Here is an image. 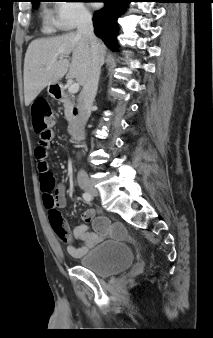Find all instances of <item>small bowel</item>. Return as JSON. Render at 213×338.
Listing matches in <instances>:
<instances>
[{
    "mask_svg": "<svg viewBox=\"0 0 213 338\" xmlns=\"http://www.w3.org/2000/svg\"><path fill=\"white\" fill-rule=\"evenodd\" d=\"M52 139L53 135H50L48 138L39 141L35 148V158L37 162L48 161ZM56 200L58 208H62L66 205L65 189L63 185H59L56 190ZM81 217L85 223L79 225L73 232L70 231L66 221H63L59 227L53 228L60 239L68 243V252L73 256H80L86 253L89 249L104 240L107 236V229L109 228L108 221L103 216H99L100 221L95 224L94 231L90 229L87 223L94 218V212L91 209L83 210ZM114 233L124 239L130 237L128 231L124 227H117ZM73 236L81 239V246L72 242Z\"/></svg>",
    "mask_w": 213,
    "mask_h": 338,
    "instance_id": "obj_1",
    "label": "small bowel"
}]
</instances>
